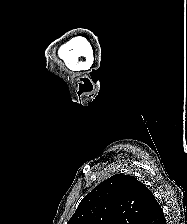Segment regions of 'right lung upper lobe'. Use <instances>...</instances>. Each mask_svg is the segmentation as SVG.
<instances>
[{"instance_id":"cb5924a9","label":"right lung upper lobe","mask_w":187,"mask_h":224,"mask_svg":"<svg viewBox=\"0 0 187 224\" xmlns=\"http://www.w3.org/2000/svg\"><path fill=\"white\" fill-rule=\"evenodd\" d=\"M161 206L135 177L115 174L80 202L67 224H164Z\"/></svg>"}]
</instances>
